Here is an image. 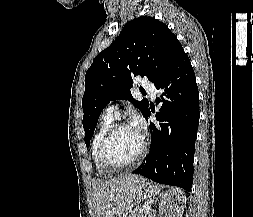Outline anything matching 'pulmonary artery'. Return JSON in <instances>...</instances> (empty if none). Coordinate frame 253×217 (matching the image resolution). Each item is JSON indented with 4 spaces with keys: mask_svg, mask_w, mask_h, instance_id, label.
<instances>
[{
    "mask_svg": "<svg viewBox=\"0 0 253 217\" xmlns=\"http://www.w3.org/2000/svg\"><path fill=\"white\" fill-rule=\"evenodd\" d=\"M142 86L150 94V96L152 98H155L157 90L151 82L144 81L142 83ZM103 115L108 116V117H112V118L118 117V115H119L118 104L116 102H113V103L109 104L108 106H106L104 109Z\"/></svg>",
    "mask_w": 253,
    "mask_h": 217,
    "instance_id": "e3ab8cb5",
    "label": "pulmonary artery"
}]
</instances>
